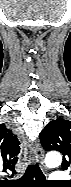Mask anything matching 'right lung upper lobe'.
I'll list each match as a JSON object with an SVG mask.
<instances>
[{"mask_svg": "<svg viewBox=\"0 0 71 187\" xmlns=\"http://www.w3.org/2000/svg\"><path fill=\"white\" fill-rule=\"evenodd\" d=\"M20 153V142L17 136L4 124L0 125V157L4 167L15 173L14 167Z\"/></svg>", "mask_w": 71, "mask_h": 187, "instance_id": "right-lung-upper-lobe-1", "label": "right lung upper lobe"}]
</instances>
